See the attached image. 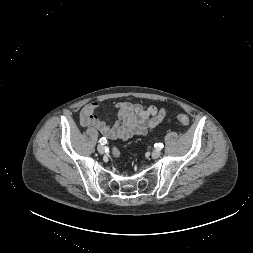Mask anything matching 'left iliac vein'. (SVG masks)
<instances>
[{
  "instance_id": "4c4485c4",
  "label": "left iliac vein",
  "mask_w": 253,
  "mask_h": 253,
  "mask_svg": "<svg viewBox=\"0 0 253 253\" xmlns=\"http://www.w3.org/2000/svg\"><path fill=\"white\" fill-rule=\"evenodd\" d=\"M160 155H161V149H159V148L155 149V150L151 153V156H152L153 158H158Z\"/></svg>"
}]
</instances>
